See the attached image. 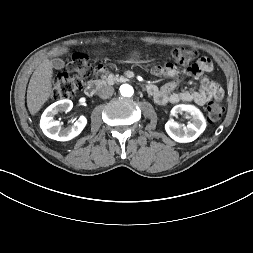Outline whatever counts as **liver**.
Here are the masks:
<instances>
[{"label":"liver","mask_w":253,"mask_h":253,"mask_svg":"<svg viewBox=\"0 0 253 253\" xmlns=\"http://www.w3.org/2000/svg\"><path fill=\"white\" fill-rule=\"evenodd\" d=\"M68 52V48H60L50 53V56H58ZM53 66L51 60L44 59L31 76L27 89V107L34 115L49 99L52 93Z\"/></svg>","instance_id":"1"}]
</instances>
